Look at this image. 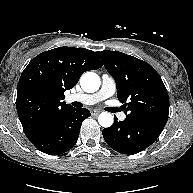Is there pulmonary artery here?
Segmentation results:
<instances>
[{"instance_id":"e3ab8cb5","label":"pulmonary artery","mask_w":193,"mask_h":193,"mask_svg":"<svg viewBox=\"0 0 193 193\" xmlns=\"http://www.w3.org/2000/svg\"><path fill=\"white\" fill-rule=\"evenodd\" d=\"M116 92V82L113 77L108 74L102 75L100 89L92 94H71L67 97L69 102H80L85 105H93L104 99H107L114 95ZM118 118L124 120L126 118L125 113L119 112Z\"/></svg>"}]
</instances>
